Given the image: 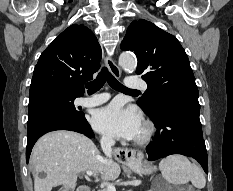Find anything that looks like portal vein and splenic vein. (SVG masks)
<instances>
[{"label": "portal vein and splenic vein", "mask_w": 233, "mask_h": 191, "mask_svg": "<svg viewBox=\"0 0 233 191\" xmlns=\"http://www.w3.org/2000/svg\"><path fill=\"white\" fill-rule=\"evenodd\" d=\"M86 173L89 176L93 175V172L90 171V170H87ZM106 189H107V191H116L115 187L112 184H110V183H107Z\"/></svg>", "instance_id": "1"}]
</instances>
